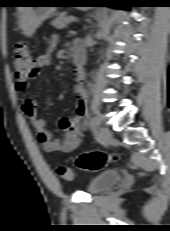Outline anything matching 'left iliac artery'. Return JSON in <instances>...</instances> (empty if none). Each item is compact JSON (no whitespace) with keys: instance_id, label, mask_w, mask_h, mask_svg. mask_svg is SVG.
<instances>
[{"instance_id":"1","label":"left iliac artery","mask_w":170,"mask_h":231,"mask_svg":"<svg viewBox=\"0 0 170 231\" xmlns=\"http://www.w3.org/2000/svg\"><path fill=\"white\" fill-rule=\"evenodd\" d=\"M96 124H97L96 119H91L90 122H89V125H90L91 127H94Z\"/></svg>"}]
</instances>
